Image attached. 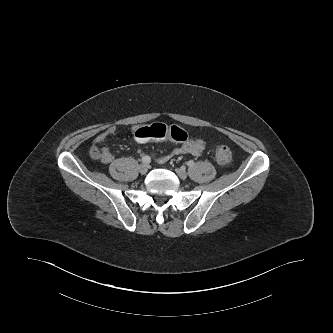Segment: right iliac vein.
I'll list each match as a JSON object with an SVG mask.
<instances>
[{
    "label": "right iliac vein",
    "mask_w": 333,
    "mask_h": 333,
    "mask_svg": "<svg viewBox=\"0 0 333 333\" xmlns=\"http://www.w3.org/2000/svg\"><path fill=\"white\" fill-rule=\"evenodd\" d=\"M148 169H149V166L147 165V164H141L140 166H139V172L141 173V174H146L147 172H148Z\"/></svg>",
    "instance_id": "1"
}]
</instances>
